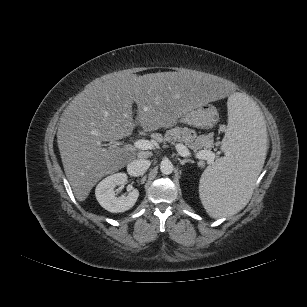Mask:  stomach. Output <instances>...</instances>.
I'll use <instances>...</instances> for the list:
<instances>
[{
  "instance_id": "stomach-1",
  "label": "stomach",
  "mask_w": 307,
  "mask_h": 307,
  "mask_svg": "<svg viewBox=\"0 0 307 307\" xmlns=\"http://www.w3.org/2000/svg\"><path fill=\"white\" fill-rule=\"evenodd\" d=\"M179 121L193 127L209 128L218 121V112L211 104H199L184 113Z\"/></svg>"
}]
</instances>
